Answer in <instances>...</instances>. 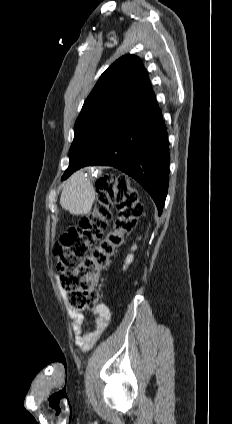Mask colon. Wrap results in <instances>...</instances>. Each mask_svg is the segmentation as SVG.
<instances>
[{
    "mask_svg": "<svg viewBox=\"0 0 232 424\" xmlns=\"http://www.w3.org/2000/svg\"><path fill=\"white\" fill-rule=\"evenodd\" d=\"M98 185L100 191L91 214L64 233L54 249L67 303L77 310L91 311L97 305L101 272L109 266L143 212L134 188L121 183L111 185L107 178L100 179ZM113 203H117L118 214L108 230Z\"/></svg>",
    "mask_w": 232,
    "mask_h": 424,
    "instance_id": "1",
    "label": "colon"
}]
</instances>
